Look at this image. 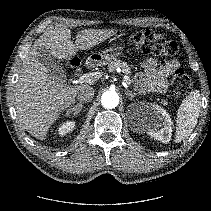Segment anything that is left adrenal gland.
Instances as JSON below:
<instances>
[{
  "instance_id": "obj_1",
  "label": "left adrenal gland",
  "mask_w": 211,
  "mask_h": 211,
  "mask_svg": "<svg viewBox=\"0 0 211 211\" xmlns=\"http://www.w3.org/2000/svg\"><path fill=\"white\" fill-rule=\"evenodd\" d=\"M125 94L129 97V100L132 101L133 98H134V96H135V95H138V94H140V93H135V92H132V91L127 90Z\"/></svg>"
}]
</instances>
